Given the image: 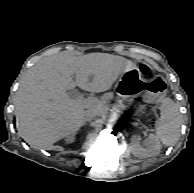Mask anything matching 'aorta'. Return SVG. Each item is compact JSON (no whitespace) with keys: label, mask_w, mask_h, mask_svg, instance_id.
<instances>
[{"label":"aorta","mask_w":194,"mask_h":193,"mask_svg":"<svg viewBox=\"0 0 194 193\" xmlns=\"http://www.w3.org/2000/svg\"><path fill=\"white\" fill-rule=\"evenodd\" d=\"M119 116V112L116 109H109L105 112L104 115L105 119L110 123L115 122Z\"/></svg>","instance_id":"762f6f07"}]
</instances>
